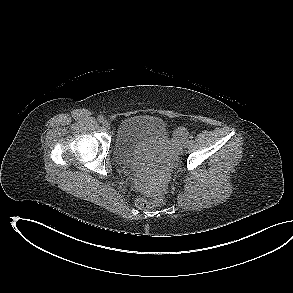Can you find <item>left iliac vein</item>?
I'll return each mask as SVG.
<instances>
[{"mask_svg":"<svg viewBox=\"0 0 293 293\" xmlns=\"http://www.w3.org/2000/svg\"><path fill=\"white\" fill-rule=\"evenodd\" d=\"M187 144H188V138H184L183 141H182V146L186 147Z\"/></svg>","mask_w":293,"mask_h":293,"instance_id":"left-iliac-vein-1","label":"left iliac vein"}]
</instances>
